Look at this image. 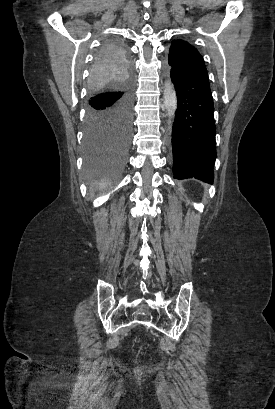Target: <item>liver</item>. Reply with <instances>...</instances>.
<instances>
[{
    "label": "liver",
    "mask_w": 275,
    "mask_h": 409,
    "mask_svg": "<svg viewBox=\"0 0 275 409\" xmlns=\"http://www.w3.org/2000/svg\"><path fill=\"white\" fill-rule=\"evenodd\" d=\"M105 182H102L101 186H104Z\"/></svg>",
    "instance_id": "obj_1"
}]
</instances>
